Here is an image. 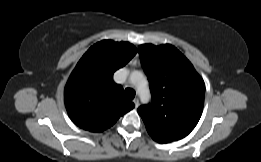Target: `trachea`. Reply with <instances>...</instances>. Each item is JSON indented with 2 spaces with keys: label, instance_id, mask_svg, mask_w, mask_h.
<instances>
[{
  "label": "trachea",
  "instance_id": "trachea-1",
  "mask_svg": "<svg viewBox=\"0 0 261 162\" xmlns=\"http://www.w3.org/2000/svg\"><path fill=\"white\" fill-rule=\"evenodd\" d=\"M124 95L127 100H133L135 97V91L131 88H126L124 91Z\"/></svg>",
  "mask_w": 261,
  "mask_h": 162
}]
</instances>
